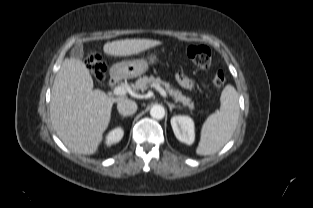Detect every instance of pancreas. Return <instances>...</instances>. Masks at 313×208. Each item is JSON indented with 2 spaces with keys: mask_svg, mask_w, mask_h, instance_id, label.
Masks as SVG:
<instances>
[{
  "mask_svg": "<svg viewBox=\"0 0 313 208\" xmlns=\"http://www.w3.org/2000/svg\"><path fill=\"white\" fill-rule=\"evenodd\" d=\"M151 85H163L167 91V93L174 98L176 102L182 103L183 106L188 107L190 110H194V102L189 97H186L182 95V93L179 90H176L171 87V85L167 82H164L159 77L154 78L153 76L147 77L144 76L142 78H139L135 85H132L133 90H145L148 88V86Z\"/></svg>",
  "mask_w": 313,
  "mask_h": 208,
  "instance_id": "cf45deb5",
  "label": "pancreas"
}]
</instances>
